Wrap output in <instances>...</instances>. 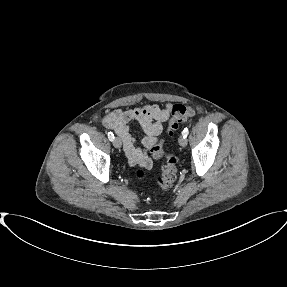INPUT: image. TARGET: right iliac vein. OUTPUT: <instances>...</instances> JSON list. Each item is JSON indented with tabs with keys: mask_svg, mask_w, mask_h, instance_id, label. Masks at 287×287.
<instances>
[{
	"mask_svg": "<svg viewBox=\"0 0 287 287\" xmlns=\"http://www.w3.org/2000/svg\"><path fill=\"white\" fill-rule=\"evenodd\" d=\"M113 145L115 148H120L122 145L121 139L119 137H115L113 139Z\"/></svg>",
	"mask_w": 287,
	"mask_h": 287,
	"instance_id": "1",
	"label": "right iliac vein"
}]
</instances>
